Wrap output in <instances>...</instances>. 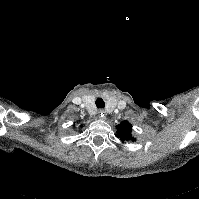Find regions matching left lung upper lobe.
<instances>
[{"label": "left lung upper lobe", "instance_id": "1", "mask_svg": "<svg viewBox=\"0 0 199 199\" xmlns=\"http://www.w3.org/2000/svg\"><path fill=\"white\" fill-rule=\"evenodd\" d=\"M117 128V137H120L121 141H128V140H135L131 136L132 126L128 121H123L119 125L116 126Z\"/></svg>", "mask_w": 199, "mask_h": 199}]
</instances>
